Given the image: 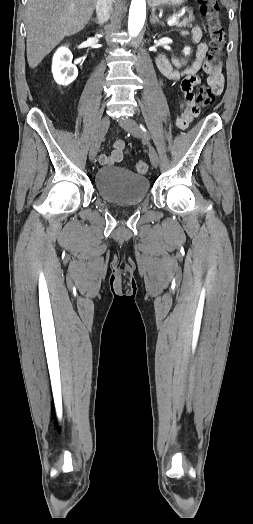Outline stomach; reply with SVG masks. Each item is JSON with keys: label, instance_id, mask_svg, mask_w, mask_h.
Here are the masks:
<instances>
[{"label": "stomach", "instance_id": "0dacf381", "mask_svg": "<svg viewBox=\"0 0 253 524\" xmlns=\"http://www.w3.org/2000/svg\"><path fill=\"white\" fill-rule=\"evenodd\" d=\"M186 0H152V6H163V5H170V6H177L182 3H184Z\"/></svg>", "mask_w": 253, "mask_h": 524}]
</instances>
